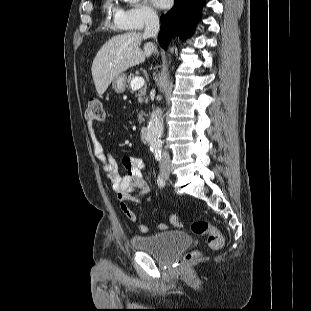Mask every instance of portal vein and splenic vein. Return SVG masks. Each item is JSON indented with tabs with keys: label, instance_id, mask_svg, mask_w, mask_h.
I'll use <instances>...</instances> for the list:
<instances>
[{
	"label": "portal vein and splenic vein",
	"instance_id": "1",
	"mask_svg": "<svg viewBox=\"0 0 311 311\" xmlns=\"http://www.w3.org/2000/svg\"><path fill=\"white\" fill-rule=\"evenodd\" d=\"M144 78L143 77H135L133 78V80L131 81V87L133 90H136V89H140L141 87L144 86Z\"/></svg>",
	"mask_w": 311,
	"mask_h": 311
}]
</instances>
